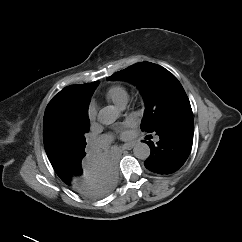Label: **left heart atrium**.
<instances>
[{
  "label": "left heart atrium",
  "mask_w": 242,
  "mask_h": 242,
  "mask_svg": "<svg viewBox=\"0 0 242 242\" xmlns=\"http://www.w3.org/2000/svg\"><path fill=\"white\" fill-rule=\"evenodd\" d=\"M132 125L131 122H126L119 128V133L122 138H126L128 136V128Z\"/></svg>",
  "instance_id": "1"
}]
</instances>
